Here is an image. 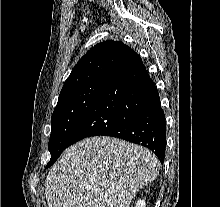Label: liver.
I'll list each match as a JSON object with an SVG mask.
<instances>
[{
  "label": "liver",
  "mask_w": 220,
  "mask_h": 207,
  "mask_svg": "<svg viewBox=\"0 0 220 207\" xmlns=\"http://www.w3.org/2000/svg\"><path fill=\"white\" fill-rule=\"evenodd\" d=\"M159 170L147 148L106 136L85 138L54 164L45 195L49 207H130Z\"/></svg>",
  "instance_id": "obj_1"
}]
</instances>
